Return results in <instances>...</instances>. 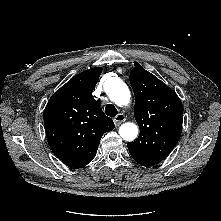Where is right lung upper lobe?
Returning <instances> with one entry per match:
<instances>
[{"label": "right lung upper lobe", "mask_w": 221, "mask_h": 221, "mask_svg": "<svg viewBox=\"0 0 221 221\" xmlns=\"http://www.w3.org/2000/svg\"><path fill=\"white\" fill-rule=\"evenodd\" d=\"M101 67L71 78L48 101L44 127L53 153L73 168L93 160L102 135L114 129L98 102L92 97Z\"/></svg>", "instance_id": "cb5924a9"}]
</instances>
